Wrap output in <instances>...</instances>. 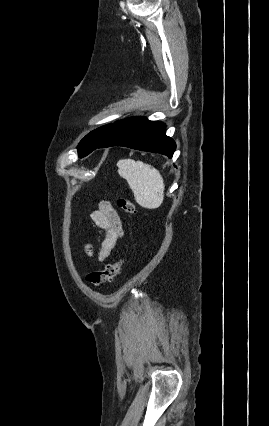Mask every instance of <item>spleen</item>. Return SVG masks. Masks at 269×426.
<instances>
[{
	"label": "spleen",
	"mask_w": 269,
	"mask_h": 426,
	"mask_svg": "<svg viewBox=\"0 0 269 426\" xmlns=\"http://www.w3.org/2000/svg\"><path fill=\"white\" fill-rule=\"evenodd\" d=\"M117 166L118 174L127 181L136 202L141 207L155 209L161 206L165 185L156 168L133 159H121L117 162Z\"/></svg>",
	"instance_id": "1"
}]
</instances>
